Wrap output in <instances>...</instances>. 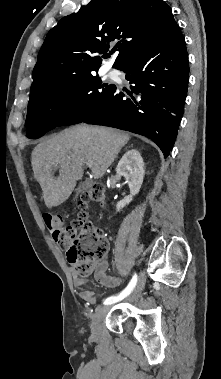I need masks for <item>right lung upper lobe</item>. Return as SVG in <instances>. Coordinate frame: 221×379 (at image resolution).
Segmentation results:
<instances>
[{
  "instance_id": "1",
  "label": "right lung upper lobe",
  "mask_w": 221,
  "mask_h": 379,
  "mask_svg": "<svg viewBox=\"0 0 221 379\" xmlns=\"http://www.w3.org/2000/svg\"><path fill=\"white\" fill-rule=\"evenodd\" d=\"M177 26L163 0H91L51 29L38 54L30 100L49 85L97 72L110 43L119 40L114 68Z\"/></svg>"
}]
</instances>
